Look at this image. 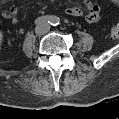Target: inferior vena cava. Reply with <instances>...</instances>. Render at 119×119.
<instances>
[{
    "mask_svg": "<svg viewBox=\"0 0 119 119\" xmlns=\"http://www.w3.org/2000/svg\"><path fill=\"white\" fill-rule=\"evenodd\" d=\"M50 30V26L48 24H43L41 28L36 30L37 34H46Z\"/></svg>",
    "mask_w": 119,
    "mask_h": 119,
    "instance_id": "602c4592",
    "label": "inferior vena cava"
}]
</instances>
